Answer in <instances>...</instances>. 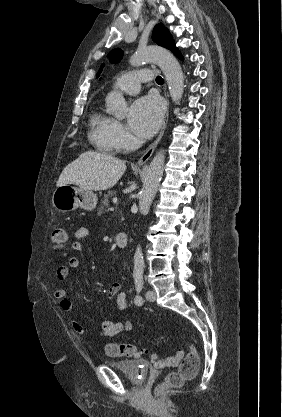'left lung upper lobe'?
I'll return each mask as SVG.
<instances>
[{
	"instance_id": "left-lung-upper-lobe-1",
	"label": "left lung upper lobe",
	"mask_w": 282,
	"mask_h": 417,
	"mask_svg": "<svg viewBox=\"0 0 282 417\" xmlns=\"http://www.w3.org/2000/svg\"><path fill=\"white\" fill-rule=\"evenodd\" d=\"M152 39L158 45L163 46L171 51H173L176 48L174 40L170 32L162 24H158L155 26L153 34H152ZM122 55H123L122 51L119 48H117V49L112 50L107 55V57L110 58V61L112 63H118L121 60ZM103 66L104 64H102V67ZM101 71H102V68H100L99 72L97 73V77H99Z\"/></svg>"
}]
</instances>
